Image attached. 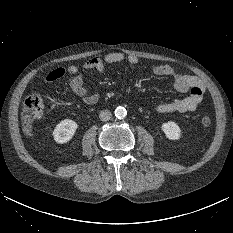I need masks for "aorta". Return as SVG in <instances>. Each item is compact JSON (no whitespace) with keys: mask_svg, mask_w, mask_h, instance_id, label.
I'll return each instance as SVG.
<instances>
[{"mask_svg":"<svg viewBox=\"0 0 233 233\" xmlns=\"http://www.w3.org/2000/svg\"><path fill=\"white\" fill-rule=\"evenodd\" d=\"M114 113H115V116L118 119H122V118H124L127 115L126 109L124 107H122V106L117 107L115 109Z\"/></svg>","mask_w":233,"mask_h":233,"instance_id":"762f6f07","label":"aorta"}]
</instances>
